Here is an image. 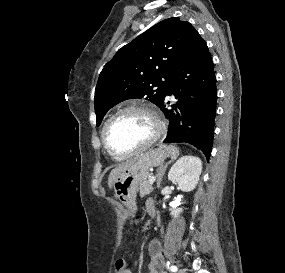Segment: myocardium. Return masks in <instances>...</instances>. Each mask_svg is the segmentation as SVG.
Returning a JSON list of instances; mask_svg holds the SVG:
<instances>
[{
	"label": "myocardium",
	"instance_id": "obj_1",
	"mask_svg": "<svg viewBox=\"0 0 285 273\" xmlns=\"http://www.w3.org/2000/svg\"><path fill=\"white\" fill-rule=\"evenodd\" d=\"M130 111L142 112L148 115L153 121L155 131L152 137L147 142L137 147L136 149L129 151V152H119L115 150L114 148H112V146L109 144L107 133H108V130L111 124L114 122V120L117 117H119L120 115L126 112H130ZM164 132H165V123H164V120L160 112L157 109L147 104H131V105H127V106L120 108L107 119L102 129V142H103L105 149L111 155L120 157V158H126V157L137 155L140 152L151 147L154 143H156L163 136Z\"/></svg>",
	"mask_w": 285,
	"mask_h": 273
}]
</instances>
